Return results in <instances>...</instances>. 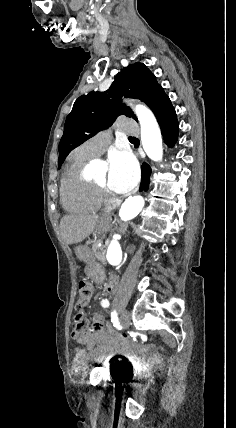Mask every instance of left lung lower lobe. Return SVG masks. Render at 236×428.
<instances>
[{
    "instance_id": "1",
    "label": "left lung lower lobe",
    "mask_w": 236,
    "mask_h": 428,
    "mask_svg": "<svg viewBox=\"0 0 236 428\" xmlns=\"http://www.w3.org/2000/svg\"><path fill=\"white\" fill-rule=\"evenodd\" d=\"M161 133L164 138V142L169 146L173 147L178 138L179 124L174 107L171 103L161 108L155 114ZM151 174V168L147 164L142 166V180L140 185V191L147 190L149 186V178Z\"/></svg>"
}]
</instances>
